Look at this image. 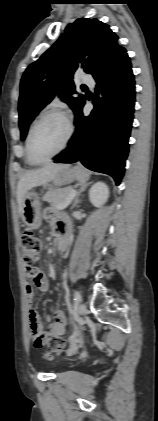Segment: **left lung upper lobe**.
<instances>
[{
	"instance_id": "5c2ea615",
	"label": "left lung upper lobe",
	"mask_w": 158,
	"mask_h": 421,
	"mask_svg": "<svg viewBox=\"0 0 158 421\" xmlns=\"http://www.w3.org/2000/svg\"><path fill=\"white\" fill-rule=\"evenodd\" d=\"M118 37L98 19L80 18L36 62L24 72L20 84L19 127L24 140L28 126L56 93L72 108L75 115L85 103L76 94L73 74L78 68L98 73L119 48Z\"/></svg>"
}]
</instances>
